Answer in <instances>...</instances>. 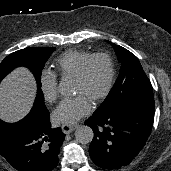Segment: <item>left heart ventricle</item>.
<instances>
[{"mask_svg":"<svg viewBox=\"0 0 171 171\" xmlns=\"http://www.w3.org/2000/svg\"><path fill=\"white\" fill-rule=\"evenodd\" d=\"M107 79L108 64L105 59L97 58L89 66L82 81L73 79V93L84 95L89 101H92L103 90Z\"/></svg>","mask_w":171,"mask_h":171,"instance_id":"1","label":"left heart ventricle"}]
</instances>
